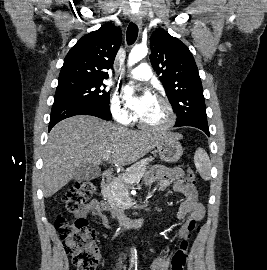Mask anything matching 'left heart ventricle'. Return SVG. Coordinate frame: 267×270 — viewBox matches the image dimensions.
Here are the masks:
<instances>
[{
	"instance_id": "left-heart-ventricle-1",
	"label": "left heart ventricle",
	"mask_w": 267,
	"mask_h": 270,
	"mask_svg": "<svg viewBox=\"0 0 267 270\" xmlns=\"http://www.w3.org/2000/svg\"><path fill=\"white\" fill-rule=\"evenodd\" d=\"M142 120L151 125H161L167 120V113L164 106L155 100L148 110L140 116Z\"/></svg>"
}]
</instances>
